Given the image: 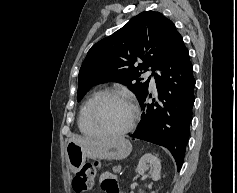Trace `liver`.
Returning <instances> with one entry per match:
<instances>
[{
  "mask_svg": "<svg viewBox=\"0 0 237 193\" xmlns=\"http://www.w3.org/2000/svg\"><path fill=\"white\" fill-rule=\"evenodd\" d=\"M106 140H108V139L95 140V139L85 137V136H73L69 139V142H75L80 145H92V144L103 143Z\"/></svg>",
  "mask_w": 237,
  "mask_h": 193,
  "instance_id": "obj_1",
  "label": "liver"
}]
</instances>
